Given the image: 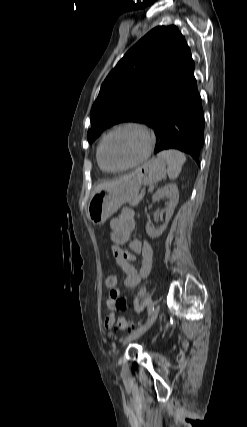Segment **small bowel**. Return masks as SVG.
<instances>
[{
	"mask_svg": "<svg viewBox=\"0 0 247 427\" xmlns=\"http://www.w3.org/2000/svg\"><path fill=\"white\" fill-rule=\"evenodd\" d=\"M112 251L117 264L125 272L126 278L124 285L128 288H136L143 278L148 276L153 264V250L147 241L132 239V233L135 229L134 214L129 209H124L119 217L113 219L110 223ZM128 244L131 252L122 250L119 246ZM141 256V268L137 270L132 262L135 261V255ZM107 307L110 314L105 321V327L111 329L115 321V312L124 310L127 302L120 298L119 291H111L107 298Z\"/></svg>",
	"mask_w": 247,
	"mask_h": 427,
	"instance_id": "small-bowel-1",
	"label": "small bowel"
}]
</instances>
